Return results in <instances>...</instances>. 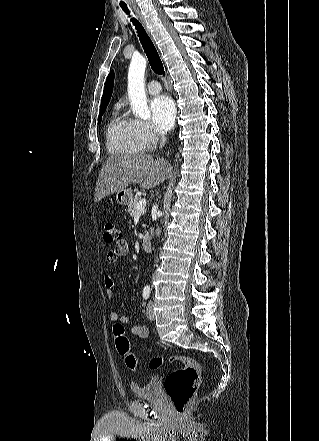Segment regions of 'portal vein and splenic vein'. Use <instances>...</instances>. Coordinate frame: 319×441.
Here are the masks:
<instances>
[{"label": "portal vein and splenic vein", "instance_id": "1", "mask_svg": "<svg viewBox=\"0 0 319 441\" xmlns=\"http://www.w3.org/2000/svg\"><path fill=\"white\" fill-rule=\"evenodd\" d=\"M146 204H147V200L145 198L141 199L136 206V210L134 214H141L142 212H144Z\"/></svg>", "mask_w": 319, "mask_h": 441}]
</instances>
